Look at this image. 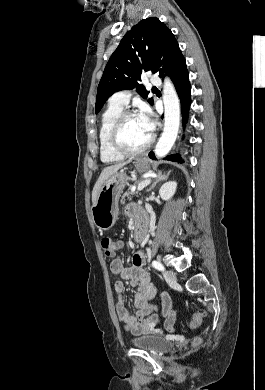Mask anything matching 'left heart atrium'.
Segmentation results:
<instances>
[{
	"label": "left heart atrium",
	"mask_w": 265,
	"mask_h": 390,
	"mask_svg": "<svg viewBox=\"0 0 265 390\" xmlns=\"http://www.w3.org/2000/svg\"><path fill=\"white\" fill-rule=\"evenodd\" d=\"M137 118L142 125L144 131L148 134L151 135L155 128V123L152 118L151 111L149 110L148 107H143L140 112L137 115Z\"/></svg>",
	"instance_id": "1"
}]
</instances>
